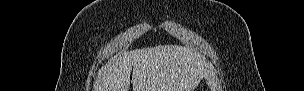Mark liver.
Returning <instances> with one entry per match:
<instances>
[{"label": "liver", "mask_w": 304, "mask_h": 91, "mask_svg": "<svg viewBox=\"0 0 304 91\" xmlns=\"http://www.w3.org/2000/svg\"><path fill=\"white\" fill-rule=\"evenodd\" d=\"M193 91L206 74V63L194 50L177 45L122 52L98 74L94 91Z\"/></svg>", "instance_id": "liver-1"}]
</instances>
